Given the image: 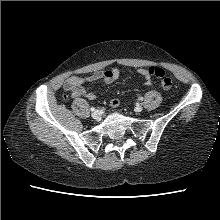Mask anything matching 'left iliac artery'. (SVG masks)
<instances>
[{
  "label": "left iliac artery",
  "mask_w": 220,
  "mask_h": 220,
  "mask_svg": "<svg viewBox=\"0 0 220 220\" xmlns=\"http://www.w3.org/2000/svg\"><path fill=\"white\" fill-rule=\"evenodd\" d=\"M143 99H144L143 97H139V100H140V101H143Z\"/></svg>",
  "instance_id": "44dca946"
}]
</instances>
